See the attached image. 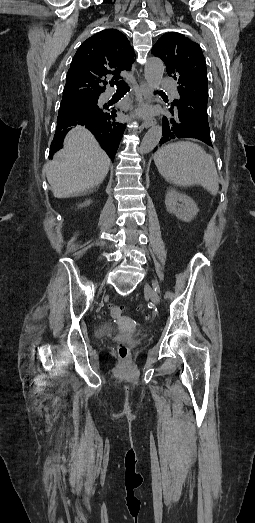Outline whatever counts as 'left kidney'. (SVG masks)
<instances>
[{
  "mask_svg": "<svg viewBox=\"0 0 255 523\" xmlns=\"http://www.w3.org/2000/svg\"><path fill=\"white\" fill-rule=\"evenodd\" d=\"M178 202H181V204H178ZM165 206L170 214H175L176 218L183 220V222H191L199 212L192 198L185 196V194H179L172 188L167 190Z\"/></svg>",
  "mask_w": 255,
  "mask_h": 523,
  "instance_id": "obj_1",
  "label": "left kidney"
}]
</instances>
